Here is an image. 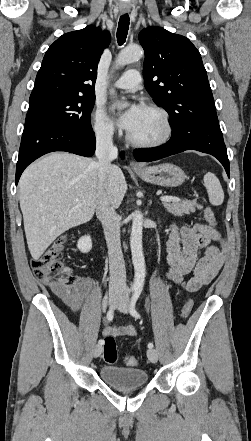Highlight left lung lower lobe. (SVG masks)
Here are the masks:
<instances>
[{
  "label": "left lung lower lobe",
  "mask_w": 251,
  "mask_h": 441,
  "mask_svg": "<svg viewBox=\"0 0 251 441\" xmlns=\"http://www.w3.org/2000/svg\"><path fill=\"white\" fill-rule=\"evenodd\" d=\"M186 150H197L216 157L224 166L228 177L229 160L217 116L193 115L172 130L170 140L159 147L134 150L139 162L155 161Z\"/></svg>",
  "instance_id": "0a47b994"
}]
</instances>
